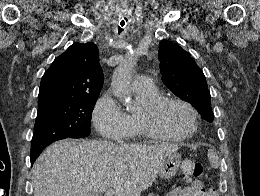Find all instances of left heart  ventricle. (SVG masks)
Wrapping results in <instances>:
<instances>
[{
  "label": "left heart ventricle",
  "mask_w": 260,
  "mask_h": 196,
  "mask_svg": "<svg viewBox=\"0 0 260 196\" xmlns=\"http://www.w3.org/2000/svg\"><path fill=\"white\" fill-rule=\"evenodd\" d=\"M143 107L139 112H141ZM156 126L167 135L182 136L194 127L193 114L180 104L168 105L156 118Z\"/></svg>",
  "instance_id": "obj_1"
}]
</instances>
